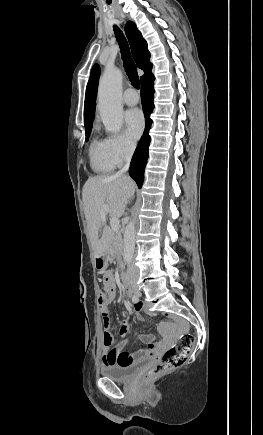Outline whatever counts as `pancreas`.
I'll use <instances>...</instances> for the list:
<instances>
[{"label": "pancreas", "instance_id": "obj_1", "mask_svg": "<svg viewBox=\"0 0 263 435\" xmlns=\"http://www.w3.org/2000/svg\"><path fill=\"white\" fill-rule=\"evenodd\" d=\"M121 254V234L117 231L113 237V241L109 249L108 255L111 259H117L118 263H121Z\"/></svg>", "mask_w": 263, "mask_h": 435}]
</instances>
